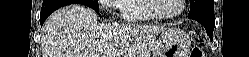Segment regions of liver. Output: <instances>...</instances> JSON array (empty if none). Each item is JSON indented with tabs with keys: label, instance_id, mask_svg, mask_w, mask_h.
Here are the masks:
<instances>
[{
	"label": "liver",
	"instance_id": "6515ba94",
	"mask_svg": "<svg viewBox=\"0 0 249 57\" xmlns=\"http://www.w3.org/2000/svg\"><path fill=\"white\" fill-rule=\"evenodd\" d=\"M42 31L43 57H150L164 28L100 24L95 11L72 4L50 15Z\"/></svg>",
	"mask_w": 249,
	"mask_h": 57
}]
</instances>
